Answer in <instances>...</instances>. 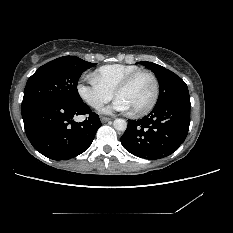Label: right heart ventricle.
<instances>
[{"instance_id": "right-heart-ventricle-1", "label": "right heart ventricle", "mask_w": 233, "mask_h": 233, "mask_svg": "<svg viewBox=\"0 0 233 233\" xmlns=\"http://www.w3.org/2000/svg\"><path fill=\"white\" fill-rule=\"evenodd\" d=\"M136 65L110 64L97 69L90 75V79L104 88L114 92L118 84L131 73L140 70Z\"/></svg>"}]
</instances>
